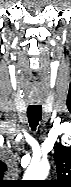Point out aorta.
Here are the masks:
<instances>
[{
	"mask_svg": "<svg viewBox=\"0 0 71 187\" xmlns=\"http://www.w3.org/2000/svg\"><path fill=\"white\" fill-rule=\"evenodd\" d=\"M50 170L49 162L44 160L38 163H31L27 168L24 178L26 180H45Z\"/></svg>",
	"mask_w": 71,
	"mask_h": 187,
	"instance_id": "obj_1",
	"label": "aorta"
}]
</instances>
